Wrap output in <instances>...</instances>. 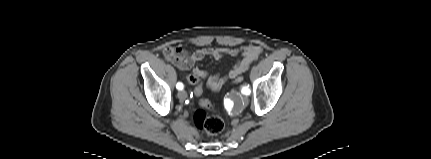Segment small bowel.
I'll return each instance as SVG.
<instances>
[{"label": "small bowel", "instance_id": "obj_1", "mask_svg": "<svg viewBox=\"0 0 431 159\" xmlns=\"http://www.w3.org/2000/svg\"><path fill=\"white\" fill-rule=\"evenodd\" d=\"M261 52L262 49L258 45H248L240 48L204 47L197 49L194 52H188L181 46H168L163 50V55L167 61L181 70L192 68L195 63L201 61L206 56H211L217 60L225 55L233 57L241 56L226 76L209 75L206 71L198 67L193 68L191 74L201 80L202 86V80L206 79L207 87L211 90L217 91L227 80L236 79L245 72L248 66L260 56Z\"/></svg>", "mask_w": 431, "mask_h": 159}]
</instances>
